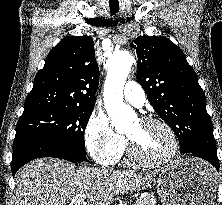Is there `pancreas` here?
Masks as SVG:
<instances>
[{
    "label": "pancreas",
    "mask_w": 222,
    "mask_h": 205,
    "mask_svg": "<svg viewBox=\"0 0 222 205\" xmlns=\"http://www.w3.org/2000/svg\"><path fill=\"white\" fill-rule=\"evenodd\" d=\"M136 205H156V199L153 195H149L137 200Z\"/></svg>",
    "instance_id": "obj_1"
}]
</instances>
